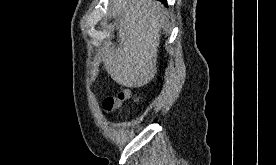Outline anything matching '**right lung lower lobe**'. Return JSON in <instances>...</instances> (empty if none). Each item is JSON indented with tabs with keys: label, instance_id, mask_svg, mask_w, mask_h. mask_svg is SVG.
<instances>
[{
	"label": "right lung lower lobe",
	"instance_id": "obj_1",
	"mask_svg": "<svg viewBox=\"0 0 276 165\" xmlns=\"http://www.w3.org/2000/svg\"><path fill=\"white\" fill-rule=\"evenodd\" d=\"M160 1H162V2L166 3V0H160Z\"/></svg>",
	"mask_w": 276,
	"mask_h": 165
}]
</instances>
